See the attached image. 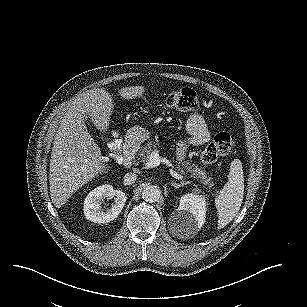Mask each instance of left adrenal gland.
Returning a JSON list of instances; mask_svg holds the SVG:
<instances>
[{
	"label": "left adrenal gland",
	"instance_id": "left-adrenal-gland-1",
	"mask_svg": "<svg viewBox=\"0 0 307 307\" xmlns=\"http://www.w3.org/2000/svg\"><path fill=\"white\" fill-rule=\"evenodd\" d=\"M191 183V181H181L180 183H172V186L177 189L180 188L181 186Z\"/></svg>",
	"mask_w": 307,
	"mask_h": 307
}]
</instances>
